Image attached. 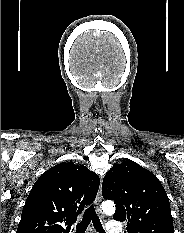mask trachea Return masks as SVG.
<instances>
[{"mask_svg": "<svg viewBox=\"0 0 184 233\" xmlns=\"http://www.w3.org/2000/svg\"><path fill=\"white\" fill-rule=\"evenodd\" d=\"M92 221L94 228L99 233H105L102 227V224L100 222L99 217L97 216L94 206L90 205L87 210L85 211V214L83 216V219L80 223L76 225V233H85L88 225Z\"/></svg>", "mask_w": 184, "mask_h": 233, "instance_id": "1", "label": "trachea"}]
</instances>
